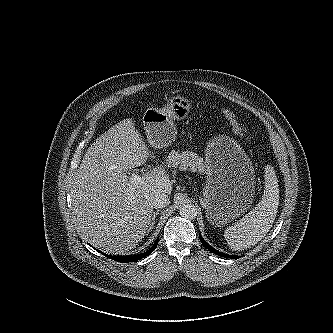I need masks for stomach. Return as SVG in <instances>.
<instances>
[{
    "instance_id": "1",
    "label": "stomach",
    "mask_w": 333,
    "mask_h": 333,
    "mask_svg": "<svg viewBox=\"0 0 333 333\" xmlns=\"http://www.w3.org/2000/svg\"><path fill=\"white\" fill-rule=\"evenodd\" d=\"M191 103L173 96L163 108H148L143 125L149 144L163 148L172 144L177 130L173 119H184ZM207 181L203 190L206 217L221 227L256 204L262 195V176L238 143L228 136H215L206 146Z\"/></svg>"
}]
</instances>
